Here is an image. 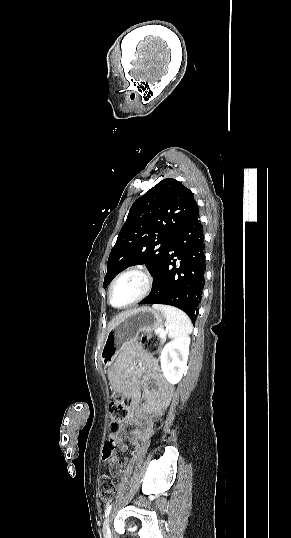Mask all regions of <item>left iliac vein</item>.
I'll list each match as a JSON object with an SVG mask.
<instances>
[{
	"mask_svg": "<svg viewBox=\"0 0 291 538\" xmlns=\"http://www.w3.org/2000/svg\"><path fill=\"white\" fill-rule=\"evenodd\" d=\"M103 530H104V536H105V538H110V537H111V533H110L109 519H107V520L105 521Z\"/></svg>",
	"mask_w": 291,
	"mask_h": 538,
	"instance_id": "1",
	"label": "left iliac vein"
}]
</instances>
